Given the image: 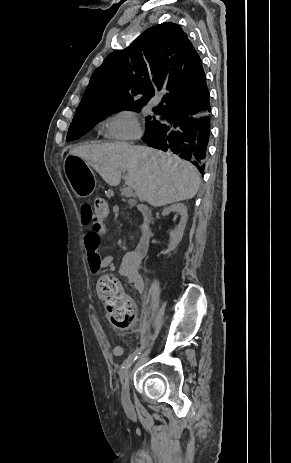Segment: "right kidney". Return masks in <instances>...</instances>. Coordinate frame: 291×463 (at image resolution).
Instances as JSON below:
<instances>
[{
    "label": "right kidney",
    "instance_id": "obj_1",
    "mask_svg": "<svg viewBox=\"0 0 291 463\" xmlns=\"http://www.w3.org/2000/svg\"><path fill=\"white\" fill-rule=\"evenodd\" d=\"M171 212L180 214L178 226L170 232L169 250H174L182 240L186 222L188 220L187 207L182 203L173 204L163 209L162 215H168Z\"/></svg>",
    "mask_w": 291,
    "mask_h": 463
}]
</instances>
